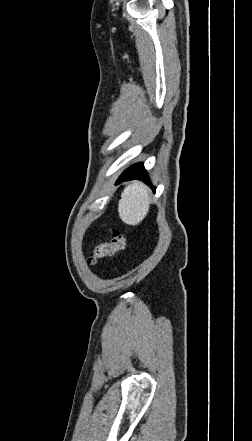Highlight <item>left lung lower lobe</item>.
Segmentation results:
<instances>
[{"instance_id":"1","label":"left lung lower lobe","mask_w":252,"mask_h":441,"mask_svg":"<svg viewBox=\"0 0 252 441\" xmlns=\"http://www.w3.org/2000/svg\"><path fill=\"white\" fill-rule=\"evenodd\" d=\"M133 179H139V180H143L145 182H149L148 175H147L142 163L133 165L129 169H127L119 177L116 184H119L123 181L133 180ZM154 191H155V188H154Z\"/></svg>"}]
</instances>
